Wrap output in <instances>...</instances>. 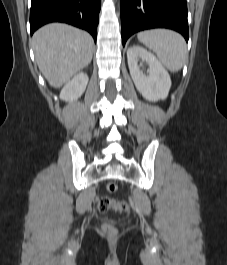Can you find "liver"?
Wrapping results in <instances>:
<instances>
[{
	"instance_id": "6515ba94",
	"label": "liver",
	"mask_w": 227,
	"mask_h": 265,
	"mask_svg": "<svg viewBox=\"0 0 227 265\" xmlns=\"http://www.w3.org/2000/svg\"><path fill=\"white\" fill-rule=\"evenodd\" d=\"M32 45L39 70L54 88H60L92 60L94 41L83 30L51 23L37 30Z\"/></svg>"
}]
</instances>
